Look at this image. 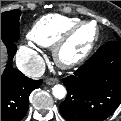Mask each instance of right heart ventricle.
Wrapping results in <instances>:
<instances>
[{"instance_id":"1","label":"right heart ventricle","mask_w":121,"mask_h":121,"mask_svg":"<svg viewBox=\"0 0 121 121\" xmlns=\"http://www.w3.org/2000/svg\"><path fill=\"white\" fill-rule=\"evenodd\" d=\"M80 20L60 14H48L38 19L29 32V38L37 45L51 47L68 28Z\"/></svg>"}]
</instances>
